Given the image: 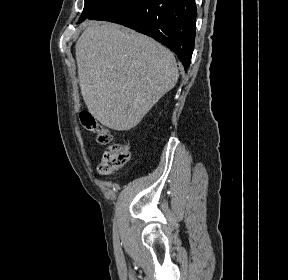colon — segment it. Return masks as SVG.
<instances>
[{"label": "colon", "instance_id": "5ec220e1", "mask_svg": "<svg viewBox=\"0 0 288 280\" xmlns=\"http://www.w3.org/2000/svg\"><path fill=\"white\" fill-rule=\"evenodd\" d=\"M79 117L84 128L96 135L99 143L107 145L98 166L99 173L110 175L123 167L130 157V143L115 142L112 132L104 127L92 113L82 111Z\"/></svg>", "mask_w": 288, "mask_h": 280}]
</instances>
